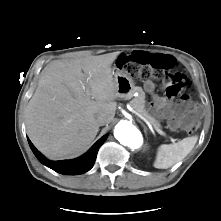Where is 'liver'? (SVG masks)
Returning <instances> with one entry per match:
<instances>
[{
  "instance_id": "obj_1",
  "label": "liver",
  "mask_w": 221,
  "mask_h": 221,
  "mask_svg": "<svg viewBox=\"0 0 221 221\" xmlns=\"http://www.w3.org/2000/svg\"><path fill=\"white\" fill-rule=\"evenodd\" d=\"M118 54L54 61L44 69L27 105L26 128L47 157L67 159L87 149L99 131L98 115L112 122L120 95L111 65Z\"/></svg>"
}]
</instances>
